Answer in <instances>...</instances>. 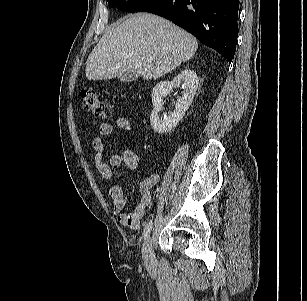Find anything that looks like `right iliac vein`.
Instances as JSON below:
<instances>
[{
  "label": "right iliac vein",
  "instance_id": "63e3f726",
  "mask_svg": "<svg viewBox=\"0 0 307 301\" xmlns=\"http://www.w3.org/2000/svg\"><path fill=\"white\" fill-rule=\"evenodd\" d=\"M142 257L144 264L147 267H153L155 266V256L153 253V247H152V238L149 236L142 248Z\"/></svg>",
  "mask_w": 307,
  "mask_h": 301
}]
</instances>
